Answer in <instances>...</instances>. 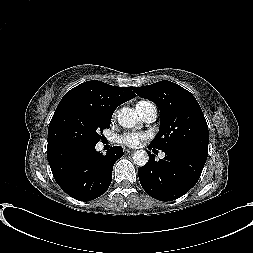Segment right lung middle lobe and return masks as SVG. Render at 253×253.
<instances>
[{"mask_svg": "<svg viewBox=\"0 0 253 253\" xmlns=\"http://www.w3.org/2000/svg\"><path fill=\"white\" fill-rule=\"evenodd\" d=\"M111 117L80 105L56 109L48 128L47 150L65 145H96L103 129L109 128Z\"/></svg>", "mask_w": 253, "mask_h": 253, "instance_id": "obj_1", "label": "right lung middle lobe"}]
</instances>
